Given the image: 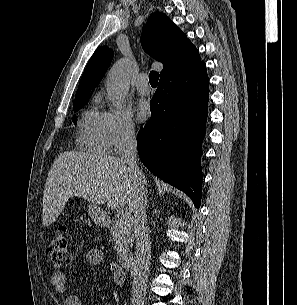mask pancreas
Instances as JSON below:
<instances>
[{"mask_svg":"<svg viewBox=\"0 0 297 305\" xmlns=\"http://www.w3.org/2000/svg\"><path fill=\"white\" fill-rule=\"evenodd\" d=\"M111 235L115 243L114 248L117 255L128 251L134 240L130 219L115 218L112 223Z\"/></svg>","mask_w":297,"mask_h":305,"instance_id":"cf45deb5","label":"pancreas"}]
</instances>
